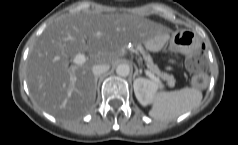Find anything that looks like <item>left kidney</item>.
<instances>
[{
	"label": "left kidney",
	"mask_w": 238,
	"mask_h": 145,
	"mask_svg": "<svg viewBox=\"0 0 238 145\" xmlns=\"http://www.w3.org/2000/svg\"><path fill=\"white\" fill-rule=\"evenodd\" d=\"M159 86L161 87L158 83L145 78H137L133 82L135 96L143 106H147L152 102Z\"/></svg>",
	"instance_id": "1"
}]
</instances>
